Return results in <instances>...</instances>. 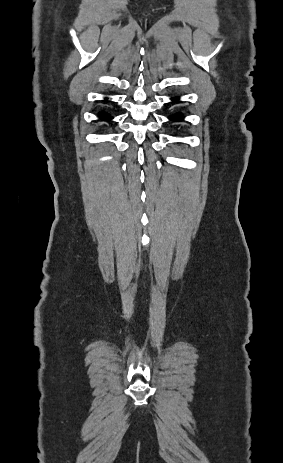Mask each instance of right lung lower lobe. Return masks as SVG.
Returning a JSON list of instances; mask_svg holds the SVG:
<instances>
[{"label":"right lung lower lobe","mask_w":283,"mask_h":463,"mask_svg":"<svg viewBox=\"0 0 283 463\" xmlns=\"http://www.w3.org/2000/svg\"><path fill=\"white\" fill-rule=\"evenodd\" d=\"M100 118H101L102 120H109V119H111V117H110L109 115L105 114V113H100Z\"/></svg>","instance_id":"1"}]
</instances>
